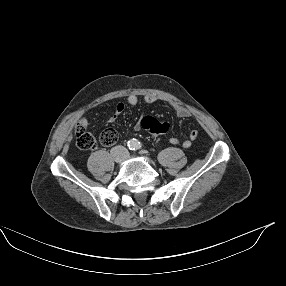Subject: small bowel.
Instances as JSON below:
<instances>
[{
    "label": "small bowel",
    "mask_w": 286,
    "mask_h": 286,
    "mask_svg": "<svg viewBox=\"0 0 286 286\" xmlns=\"http://www.w3.org/2000/svg\"><path fill=\"white\" fill-rule=\"evenodd\" d=\"M157 99L158 98L155 95H146L144 97V101L146 103H154L157 101ZM138 103H139V98L136 95L132 94V95L128 96L127 104L129 106L134 107ZM124 109H125V104L124 103H118L116 105L115 112L110 117L109 121L114 122L115 120H117L118 117L123 113ZM175 112L179 118H189L192 116V113L188 109L181 107V106L175 107ZM148 117H150V116H144L137 121V123L134 126L135 131H140L144 128V120ZM81 125L84 128L87 127L86 119L81 120ZM197 137H198V131L197 130H191L188 138H186L184 140H179L176 137H170L169 142L171 144H174V145L180 144L183 148H189V147H191L192 143L197 139Z\"/></svg>",
    "instance_id": "1"
}]
</instances>
